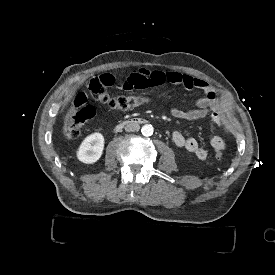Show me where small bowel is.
Listing matches in <instances>:
<instances>
[{"label":"small bowel","instance_id":"c3829d8e","mask_svg":"<svg viewBox=\"0 0 275 275\" xmlns=\"http://www.w3.org/2000/svg\"><path fill=\"white\" fill-rule=\"evenodd\" d=\"M101 79L106 86L115 87L118 84L117 79L111 73L102 74ZM165 84L183 85L188 89L201 90L204 94L203 97L196 101V107L193 109L182 110L176 107L172 108L171 114L174 118L194 121L210 115L216 124L223 125V108L219 101L218 93L204 80L194 79L178 71L147 70L141 68L130 73L121 83V88L124 90H134ZM172 141L175 146L186 149L199 160H206L208 158L207 149L201 146L195 138L185 137L181 132L176 131L172 135ZM210 145L215 151L219 152L226 148L227 142L220 136H213L210 139Z\"/></svg>","mask_w":275,"mask_h":275}]
</instances>
